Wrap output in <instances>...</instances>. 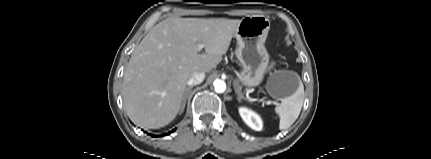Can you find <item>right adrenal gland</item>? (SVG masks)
<instances>
[{"instance_id": "right-adrenal-gland-1", "label": "right adrenal gland", "mask_w": 431, "mask_h": 159, "mask_svg": "<svg viewBox=\"0 0 431 159\" xmlns=\"http://www.w3.org/2000/svg\"><path fill=\"white\" fill-rule=\"evenodd\" d=\"M192 88H193V86L188 87V88L186 89L185 93H184V96H183V102H182V106H181V109H180V114H181V113H183V111H184V108H185V105H186V100H187L188 93L191 91V89H192Z\"/></svg>"}]
</instances>
